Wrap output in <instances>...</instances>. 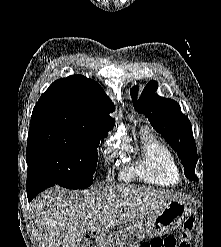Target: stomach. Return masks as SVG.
<instances>
[{"instance_id": "obj_1", "label": "stomach", "mask_w": 221, "mask_h": 247, "mask_svg": "<svg viewBox=\"0 0 221 247\" xmlns=\"http://www.w3.org/2000/svg\"><path fill=\"white\" fill-rule=\"evenodd\" d=\"M191 212L190 202L176 197L151 214L147 222L130 223L114 232H98L97 238L101 247H139L145 238L161 236L178 228Z\"/></svg>"}]
</instances>
